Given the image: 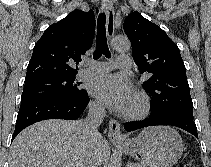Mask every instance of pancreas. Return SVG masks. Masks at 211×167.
<instances>
[{
  "label": "pancreas",
  "instance_id": "obj_1",
  "mask_svg": "<svg viewBox=\"0 0 211 167\" xmlns=\"http://www.w3.org/2000/svg\"><path fill=\"white\" fill-rule=\"evenodd\" d=\"M127 167H145V166L138 163H128Z\"/></svg>",
  "mask_w": 211,
  "mask_h": 167
}]
</instances>
